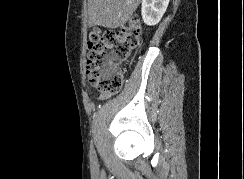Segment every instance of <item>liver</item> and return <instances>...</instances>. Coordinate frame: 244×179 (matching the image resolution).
I'll return each mask as SVG.
<instances>
[{
  "label": "liver",
  "mask_w": 244,
  "mask_h": 179,
  "mask_svg": "<svg viewBox=\"0 0 244 179\" xmlns=\"http://www.w3.org/2000/svg\"><path fill=\"white\" fill-rule=\"evenodd\" d=\"M141 0H88L89 26L119 28L128 22Z\"/></svg>",
  "instance_id": "1"
}]
</instances>
